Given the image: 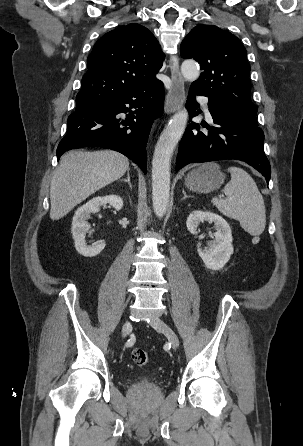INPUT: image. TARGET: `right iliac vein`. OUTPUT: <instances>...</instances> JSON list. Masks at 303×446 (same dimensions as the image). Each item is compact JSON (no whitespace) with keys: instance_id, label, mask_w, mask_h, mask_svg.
Instances as JSON below:
<instances>
[{"instance_id":"63e3f726","label":"right iliac vein","mask_w":303,"mask_h":446,"mask_svg":"<svg viewBox=\"0 0 303 446\" xmlns=\"http://www.w3.org/2000/svg\"><path fill=\"white\" fill-rule=\"evenodd\" d=\"M131 328V324L129 321H126L122 327V336L125 337L128 333V331Z\"/></svg>"}]
</instances>
